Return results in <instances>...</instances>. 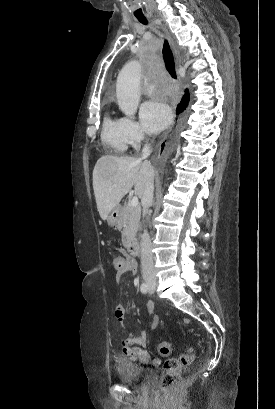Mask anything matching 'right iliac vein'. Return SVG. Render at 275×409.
<instances>
[{
  "mask_svg": "<svg viewBox=\"0 0 275 409\" xmlns=\"http://www.w3.org/2000/svg\"><path fill=\"white\" fill-rule=\"evenodd\" d=\"M149 285H150V286L152 287V286H154L155 284H153V283H150Z\"/></svg>",
  "mask_w": 275,
  "mask_h": 409,
  "instance_id": "right-iliac-vein-1",
  "label": "right iliac vein"
}]
</instances>
